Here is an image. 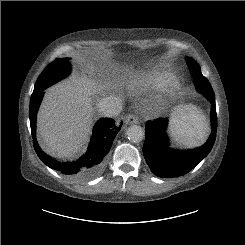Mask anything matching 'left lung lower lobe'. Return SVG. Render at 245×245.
Wrapping results in <instances>:
<instances>
[{"label": "left lung lower lobe", "mask_w": 245, "mask_h": 245, "mask_svg": "<svg viewBox=\"0 0 245 245\" xmlns=\"http://www.w3.org/2000/svg\"><path fill=\"white\" fill-rule=\"evenodd\" d=\"M203 94L212 104V132L208 141L202 147L186 151L173 150L169 148V142L165 133L168 118H158L146 123L143 154L147 164L155 175L165 178L185 175L198 165L212 149L217 132L215 95L212 88L209 89V92H203Z\"/></svg>", "instance_id": "1"}]
</instances>
